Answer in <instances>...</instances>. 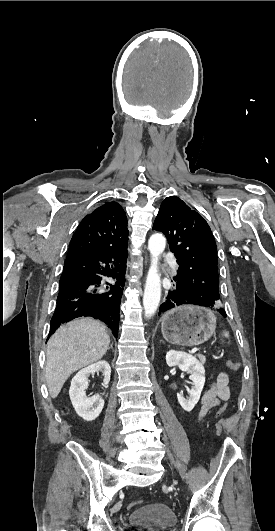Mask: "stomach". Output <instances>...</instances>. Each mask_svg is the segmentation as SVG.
<instances>
[{
	"mask_svg": "<svg viewBox=\"0 0 275 531\" xmlns=\"http://www.w3.org/2000/svg\"><path fill=\"white\" fill-rule=\"evenodd\" d=\"M160 321L165 341L183 347L205 343L216 329L213 311L200 307L199 301H180L179 307L167 311Z\"/></svg>",
	"mask_w": 275,
	"mask_h": 531,
	"instance_id": "0dacf381",
	"label": "stomach"
}]
</instances>
